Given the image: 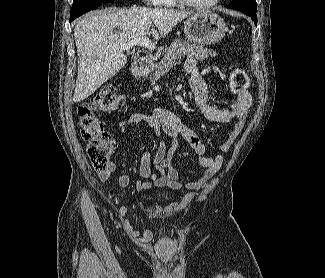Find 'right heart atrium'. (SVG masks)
Segmentation results:
<instances>
[{"label": "right heart atrium", "mask_w": 325, "mask_h": 278, "mask_svg": "<svg viewBox=\"0 0 325 278\" xmlns=\"http://www.w3.org/2000/svg\"><path fill=\"white\" fill-rule=\"evenodd\" d=\"M143 1L149 4L158 5L161 3L162 0H143Z\"/></svg>", "instance_id": "1"}]
</instances>
